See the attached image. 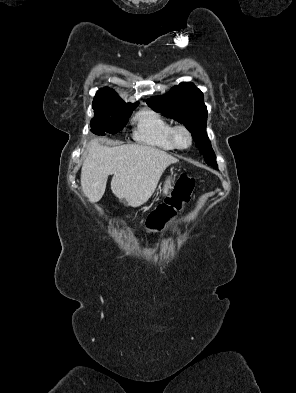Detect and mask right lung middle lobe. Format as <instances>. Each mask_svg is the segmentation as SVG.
Returning a JSON list of instances; mask_svg holds the SVG:
<instances>
[{"label": "right lung middle lobe", "mask_w": 296, "mask_h": 393, "mask_svg": "<svg viewBox=\"0 0 296 393\" xmlns=\"http://www.w3.org/2000/svg\"><path fill=\"white\" fill-rule=\"evenodd\" d=\"M138 103H125L124 101H109L93 104L95 117L91 119V131L96 135L117 133L126 125L132 111Z\"/></svg>", "instance_id": "dd1d6c3e"}]
</instances>
